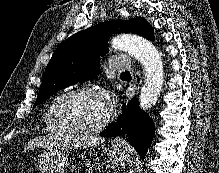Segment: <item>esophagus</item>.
Here are the masks:
<instances>
[{"label": "esophagus", "mask_w": 219, "mask_h": 173, "mask_svg": "<svg viewBox=\"0 0 219 173\" xmlns=\"http://www.w3.org/2000/svg\"><path fill=\"white\" fill-rule=\"evenodd\" d=\"M117 142H123V139H118Z\"/></svg>", "instance_id": "1"}]
</instances>
